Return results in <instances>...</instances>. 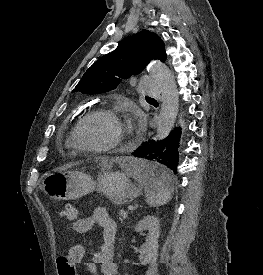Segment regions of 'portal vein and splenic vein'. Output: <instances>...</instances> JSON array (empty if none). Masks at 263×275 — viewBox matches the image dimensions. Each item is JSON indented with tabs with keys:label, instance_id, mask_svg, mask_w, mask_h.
<instances>
[{
	"label": "portal vein and splenic vein",
	"instance_id": "portal-vein-and-splenic-vein-1",
	"mask_svg": "<svg viewBox=\"0 0 263 275\" xmlns=\"http://www.w3.org/2000/svg\"><path fill=\"white\" fill-rule=\"evenodd\" d=\"M133 209H134L133 206H129V207H128V210H133Z\"/></svg>",
	"mask_w": 263,
	"mask_h": 275
}]
</instances>
